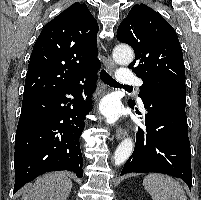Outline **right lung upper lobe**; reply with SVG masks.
Wrapping results in <instances>:
<instances>
[{"mask_svg": "<svg viewBox=\"0 0 201 200\" xmlns=\"http://www.w3.org/2000/svg\"><path fill=\"white\" fill-rule=\"evenodd\" d=\"M98 29L86 4L78 2L47 23L32 50L23 100L65 91L97 73Z\"/></svg>", "mask_w": 201, "mask_h": 200, "instance_id": "1", "label": "right lung upper lobe"}]
</instances>
